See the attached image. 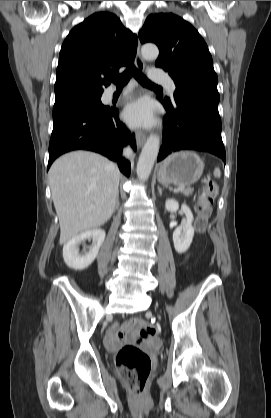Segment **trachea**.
I'll list each match as a JSON object with an SVG mask.
<instances>
[{"instance_id":"1","label":"trachea","mask_w":271,"mask_h":418,"mask_svg":"<svg viewBox=\"0 0 271 418\" xmlns=\"http://www.w3.org/2000/svg\"><path fill=\"white\" fill-rule=\"evenodd\" d=\"M134 75V77L137 79V81L149 88H161L154 83H152L150 80L147 79L146 76H144L136 67L130 66L128 67L122 74L111 77V81L116 84V86H124L128 83L130 78Z\"/></svg>"}]
</instances>
